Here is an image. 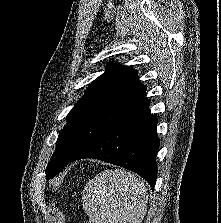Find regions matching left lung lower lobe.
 Instances as JSON below:
<instances>
[{"label": "left lung lower lobe", "mask_w": 221, "mask_h": 223, "mask_svg": "<svg viewBox=\"0 0 221 223\" xmlns=\"http://www.w3.org/2000/svg\"><path fill=\"white\" fill-rule=\"evenodd\" d=\"M149 105L150 101L143 98L72 161L94 158L121 166L141 175L153 188L159 139L158 120L150 113Z\"/></svg>", "instance_id": "obj_1"}]
</instances>
